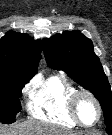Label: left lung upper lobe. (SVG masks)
<instances>
[{
	"label": "left lung upper lobe",
	"instance_id": "obj_1",
	"mask_svg": "<svg viewBox=\"0 0 112 135\" xmlns=\"http://www.w3.org/2000/svg\"><path fill=\"white\" fill-rule=\"evenodd\" d=\"M43 50L49 67L64 70L99 100L105 125L112 128V92L93 43L79 31L57 34L43 40Z\"/></svg>",
	"mask_w": 112,
	"mask_h": 135
}]
</instances>
